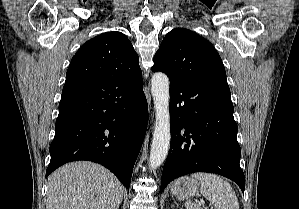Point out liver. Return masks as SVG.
<instances>
[{
    "label": "liver",
    "mask_w": 299,
    "mask_h": 209,
    "mask_svg": "<svg viewBox=\"0 0 299 209\" xmlns=\"http://www.w3.org/2000/svg\"><path fill=\"white\" fill-rule=\"evenodd\" d=\"M124 187L101 165L66 164L48 179L46 209H118Z\"/></svg>",
    "instance_id": "liver-1"
}]
</instances>
